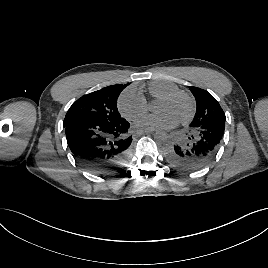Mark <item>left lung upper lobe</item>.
Wrapping results in <instances>:
<instances>
[{
  "label": "left lung upper lobe",
  "instance_id": "5c2ea615",
  "mask_svg": "<svg viewBox=\"0 0 268 268\" xmlns=\"http://www.w3.org/2000/svg\"><path fill=\"white\" fill-rule=\"evenodd\" d=\"M189 89L197 103L196 114L190 124L191 132L203 125L226 120L225 113L218 101L209 92L197 87H190Z\"/></svg>",
  "mask_w": 268,
  "mask_h": 268
}]
</instances>
